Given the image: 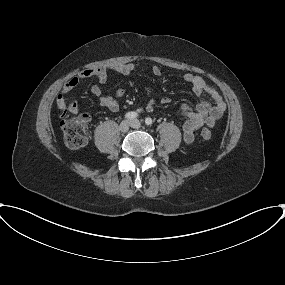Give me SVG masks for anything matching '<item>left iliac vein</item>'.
<instances>
[{
	"label": "left iliac vein",
	"instance_id": "1",
	"mask_svg": "<svg viewBox=\"0 0 285 285\" xmlns=\"http://www.w3.org/2000/svg\"><path fill=\"white\" fill-rule=\"evenodd\" d=\"M130 125H131V127L135 128V129H138L141 127V123L137 119L130 121Z\"/></svg>",
	"mask_w": 285,
	"mask_h": 285
}]
</instances>
